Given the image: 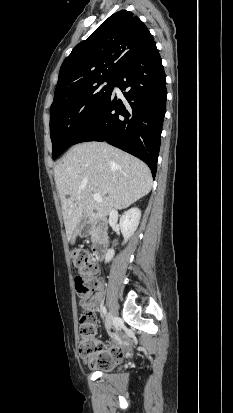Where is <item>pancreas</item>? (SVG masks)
Returning <instances> with one entry per match:
<instances>
[{
  "instance_id": "cf45deb5",
  "label": "pancreas",
  "mask_w": 233,
  "mask_h": 413,
  "mask_svg": "<svg viewBox=\"0 0 233 413\" xmlns=\"http://www.w3.org/2000/svg\"><path fill=\"white\" fill-rule=\"evenodd\" d=\"M95 236H96L95 232H91V239H92V241L95 240Z\"/></svg>"
}]
</instances>
